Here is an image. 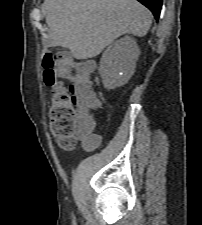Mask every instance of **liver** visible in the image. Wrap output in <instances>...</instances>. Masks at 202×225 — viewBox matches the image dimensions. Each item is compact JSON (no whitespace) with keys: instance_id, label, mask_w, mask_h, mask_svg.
<instances>
[{"instance_id":"liver-1","label":"liver","mask_w":202,"mask_h":225,"mask_svg":"<svg viewBox=\"0 0 202 225\" xmlns=\"http://www.w3.org/2000/svg\"><path fill=\"white\" fill-rule=\"evenodd\" d=\"M48 45L68 48L78 60L96 57L124 34L143 37L152 23L137 0H45Z\"/></svg>"}]
</instances>
